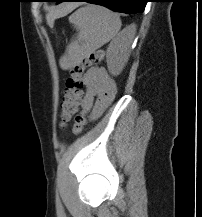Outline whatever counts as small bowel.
<instances>
[{"mask_svg":"<svg viewBox=\"0 0 202 217\" xmlns=\"http://www.w3.org/2000/svg\"><path fill=\"white\" fill-rule=\"evenodd\" d=\"M85 91L82 95L81 106L85 111L93 108L95 97H99V107L94 112L98 116L106 105L115 97L117 85L115 80L103 67L88 69L83 76Z\"/></svg>","mask_w":202,"mask_h":217,"instance_id":"obj_1","label":"small bowel"}]
</instances>
